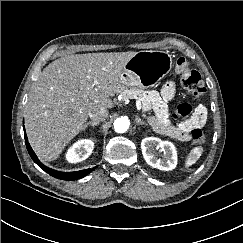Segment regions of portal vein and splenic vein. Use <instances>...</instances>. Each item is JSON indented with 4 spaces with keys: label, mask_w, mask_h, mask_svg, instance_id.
I'll return each mask as SVG.
<instances>
[{
    "label": "portal vein and splenic vein",
    "mask_w": 243,
    "mask_h": 243,
    "mask_svg": "<svg viewBox=\"0 0 243 243\" xmlns=\"http://www.w3.org/2000/svg\"><path fill=\"white\" fill-rule=\"evenodd\" d=\"M126 103H128L129 102V100L128 99H126V100H124ZM141 101L139 100V99H137L136 100V108H137V110L138 111H140L141 110Z\"/></svg>",
    "instance_id": "obj_1"
}]
</instances>
